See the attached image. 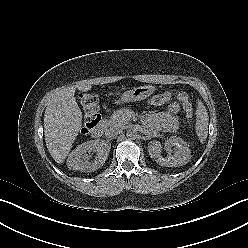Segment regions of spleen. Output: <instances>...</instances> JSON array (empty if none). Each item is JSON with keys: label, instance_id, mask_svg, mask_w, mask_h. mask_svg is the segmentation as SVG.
<instances>
[{"label": "spleen", "instance_id": "1", "mask_svg": "<svg viewBox=\"0 0 248 248\" xmlns=\"http://www.w3.org/2000/svg\"><path fill=\"white\" fill-rule=\"evenodd\" d=\"M208 113L203 103L198 100L196 110L195 130L201 143H204L208 136Z\"/></svg>", "mask_w": 248, "mask_h": 248}]
</instances>
